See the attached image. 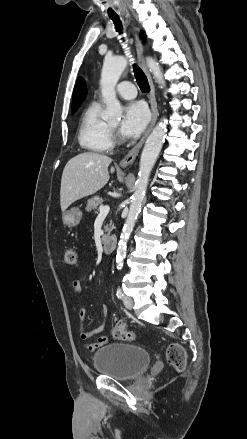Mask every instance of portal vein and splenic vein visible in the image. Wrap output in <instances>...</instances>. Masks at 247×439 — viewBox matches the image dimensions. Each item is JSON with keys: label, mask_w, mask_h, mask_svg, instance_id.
<instances>
[{"label": "portal vein and splenic vein", "mask_w": 247, "mask_h": 439, "mask_svg": "<svg viewBox=\"0 0 247 439\" xmlns=\"http://www.w3.org/2000/svg\"><path fill=\"white\" fill-rule=\"evenodd\" d=\"M99 211H100L99 216H106L110 211V207L107 205L105 206L101 205Z\"/></svg>", "instance_id": "portal-vein-and-splenic-vein-1"}]
</instances>
